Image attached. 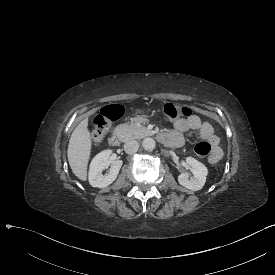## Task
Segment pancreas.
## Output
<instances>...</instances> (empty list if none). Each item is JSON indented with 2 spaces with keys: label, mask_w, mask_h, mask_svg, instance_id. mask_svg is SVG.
I'll return each instance as SVG.
<instances>
[{
  "label": "pancreas",
  "mask_w": 275,
  "mask_h": 275,
  "mask_svg": "<svg viewBox=\"0 0 275 275\" xmlns=\"http://www.w3.org/2000/svg\"><path fill=\"white\" fill-rule=\"evenodd\" d=\"M140 121L148 122L147 118H135L132 122H125L118 125L114 133L118 135L121 142H126L132 139H142L146 136H151L152 133L144 126H139Z\"/></svg>",
  "instance_id": "obj_1"
}]
</instances>
